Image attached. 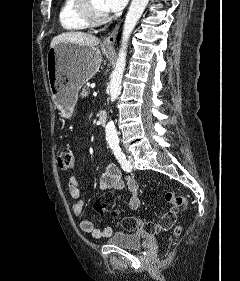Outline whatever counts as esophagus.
Listing matches in <instances>:
<instances>
[{
  "label": "esophagus",
  "instance_id": "34e87169",
  "mask_svg": "<svg viewBox=\"0 0 240 281\" xmlns=\"http://www.w3.org/2000/svg\"><path fill=\"white\" fill-rule=\"evenodd\" d=\"M120 25H121V22H119L114 28L113 30L111 31V33L104 39L103 41V44L105 46H112L115 41H116V37L119 33V29H120Z\"/></svg>",
  "mask_w": 240,
  "mask_h": 281
}]
</instances>
